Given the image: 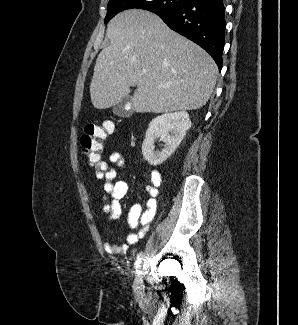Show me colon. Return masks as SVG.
I'll use <instances>...</instances> for the list:
<instances>
[{
	"label": "colon",
	"instance_id": "colon-1",
	"mask_svg": "<svg viewBox=\"0 0 298 325\" xmlns=\"http://www.w3.org/2000/svg\"><path fill=\"white\" fill-rule=\"evenodd\" d=\"M113 131L114 124L111 121H105L102 124H88L85 127L80 144L90 165H95L101 159L105 139Z\"/></svg>",
	"mask_w": 298,
	"mask_h": 325
}]
</instances>
